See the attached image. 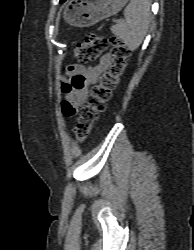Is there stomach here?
I'll return each mask as SVG.
<instances>
[{"label": "stomach", "mask_w": 194, "mask_h": 250, "mask_svg": "<svg viewBox=\"0 0 194 250\" xmlns=\"http://www.w3.org/2000/svg\"><path fill=\"white\" fill-rule=\"evenodd\" d=\"M128 0H71L65 8L67 23L77 27H87L115 15Z\"/></svg>", "instance_id": "obj_1"}]
</instances>
